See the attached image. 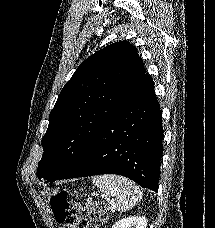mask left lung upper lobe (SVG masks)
Here are the masks:
<instances>
[{
    "mask_svg": "<svg viewBox=\"0 0 215 228\" xmlns=\"http://www.w3.org/2000/svg\"><path fill=\"white\" fill-rule=\"evenodd\" d=\"M145 75L137 50L126 41L108 45L84 60L50 113L38 178L51 181L62 175Z\"/></svg>",
    "mask_w": 215,
    "mask_h": 228,
    "instance_id": "5c2ea615",
    "label": "left lung upper lobe"
}]
</instances>
